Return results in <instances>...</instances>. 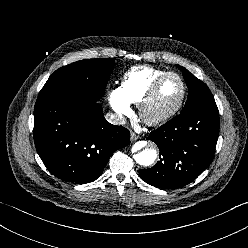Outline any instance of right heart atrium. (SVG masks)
Segmentation results:
<instances>
[{"label":"right heart atrium","mask_w":248,"mask_h":248,"mask_svg":"<svg viewBox=\"0 0 248 248\" xmlns=\"http://www.w3.org/2000/svg\"><path fill=\"white\" fill-rule=\"evenodd\" d=\"M109 103L113 111L120 117L129 116L131 114V105L124 96L120 87L114 88L109 93Z\"/></svg>","instance_id":"obj_1"}]
</instances>
